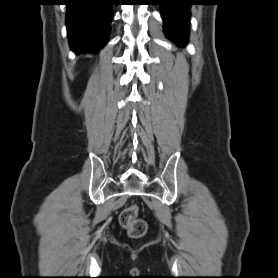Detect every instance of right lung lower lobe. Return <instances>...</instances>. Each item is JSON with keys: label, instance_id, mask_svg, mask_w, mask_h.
Segmentation results:
<instances>
[{"label": "right lung lower lobe", "instance_id": "1", "mask_svg": "<svg viewBox=\"0 0 278 278\" xmlns=\"http://www.w3.org/2000/svg\"><path fill=\"white\" fill-rule=\"evenodd\" d=\"M66 1V26L72 50H99L108 41L110 34L112 0Z\"/></svg>", "mask_w": 278, "mask_h": 278}]
</instances>
